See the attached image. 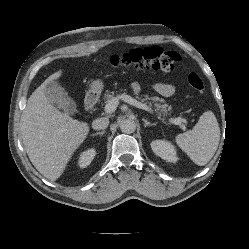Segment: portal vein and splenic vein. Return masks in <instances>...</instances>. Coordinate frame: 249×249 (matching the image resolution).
<instances>
[{"mask_svg":"<svg viewBox=\"0 0 249 249\" xmlns=\"http://www.w3.org/2000/svg\"><path fill=\"white\" fill-rule=\"evenodd\" d=\"M119 100H123L126 103H128L130 105H133V106H135V107H137L139 109L145 110V111H147L149 113H153V110L149 106L137 101L136 99H134L131 96L126 95V94H122L120 96L114 97L110 101H108L106 103V105H105V109H104L105 112L106 113H113L116 110V108H117V106L119 104ZM169 123L179 125L183 129H185L187 121L185 119H183V118H170Z\"/></svg>","mask_w":249,"mask_h":249,"instance_id":"18ae733b","label":"portal vein and splenic vein"}]
</instances>
